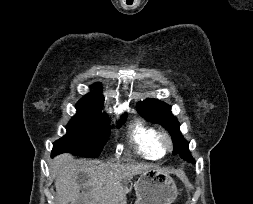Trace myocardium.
<instances>
[{
	"label": "myocardium",
	"instance_id": "f54148a6",
	"mask_svg": "<svg viewBox=\"0 0 253 204\" xmlns=\"http://www.w3.org/2000/svg\"><path fill=\"white\" fill-rule=\"evenodd\" d=\"M157 142L163 153L169 152L173 149L172 138L166 131L158 132Z\"/></svg>",
	"mask_w": 253,
	"mask_h": 204
}]
</instances>
